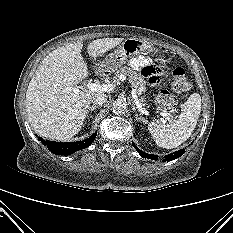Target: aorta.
<instances>
[{"label": "aorta", "mask_w": 233, "mask_h": 233, "mask_svg": "<svg viewBox=\"0 0 233 233\" xmlns=\"http://www.w3.org/2000/svg\"><path fill=\"white\" fill-rule=\"evenodd\" d=\"M127 109V103L123 99H116L112 104V111L115 114H123Z\"/></svg>", "instance_id": "762f6f07"}]
</instances>
